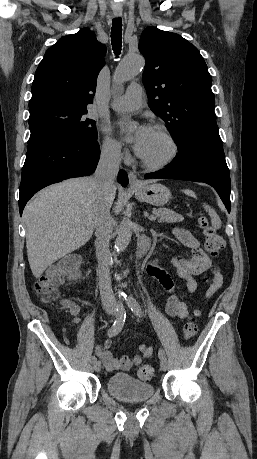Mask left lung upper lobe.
Wrapping results in <instances>:
<instances>
[{"label": "left lung upper lobe", "mask_w": 257, "mask_h": 459, "mask_svg": "<svg viewBox=\"0 0 257 459\" xmlns=\"http://www.w3.org/2000/svg\"><path fill=\"white\" fill-rule=\"evenodd\" d=\"M139 50L146 60L142 81L151 110L180 146L196 125L216 122L212 78L198 49L176 33L145 29Z\"/></svg>", "instance_id": "obj_1"}]
</instances>
